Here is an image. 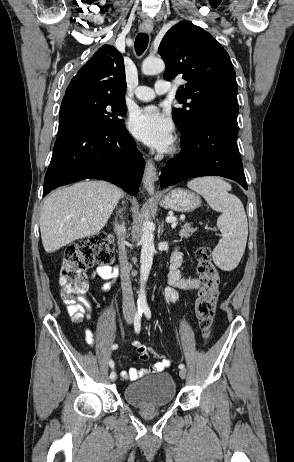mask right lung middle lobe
<instances>
[{
    "mask_svg": "<svg viewBox=\"0 0 294 462\" xmlns=\"http://www.w3.org/2000/svg\"><path fill=\"white\" fill-rule=\"evenodd\" d=\"M124 99L111 96L75 95L62 100L58 135L80 129H100L122 122Z\"/></svg>",
    "mask_w": 294,
    "mask_h": 462,
    "instance_id": "right-lung-middle-lobe-1",
    "label": "right lung middle lobe"
}]
</instances>
